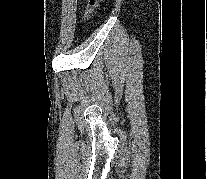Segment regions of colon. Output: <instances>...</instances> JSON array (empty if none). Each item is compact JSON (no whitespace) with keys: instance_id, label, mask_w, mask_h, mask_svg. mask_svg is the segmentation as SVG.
Wrapping results in <instances>:
<instances>
[{"instance_id":"obj_1","label":"colon","mask_w":207,"mask_h":179,"mask_svg":"<svg viewBox=\"0 0 207 179\" xmlns=\"http://www.w3.org/2000/svg\"><path fill=\"white\" fill-rule=\"evenodd\" d=\"M102 2V0H89V5L88 7L86 8L84 14H83V17L82 19L84 21L90 19L94 9Z\"/></svg>"}]
</instances>
